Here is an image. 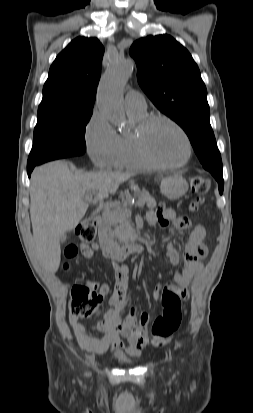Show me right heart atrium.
Returning <instances> with one entry per match:
<instances>
[{"label": "right heart atrium", "mask_w": 253, "mask_h": 413, "mask_svg": "<svg viewBox=\"0 0 253 413\" xmlns=\"http://www.w3.org/2000/svg\"><path fill=\"white\" fill-rule=\"evenodd\" d=\"M85 142L88 155L98 168L112 166L119 147V135L107 118L95 111L85 129Z\"/></svg>", "instance_id": "obj_1"}]
</instances>
